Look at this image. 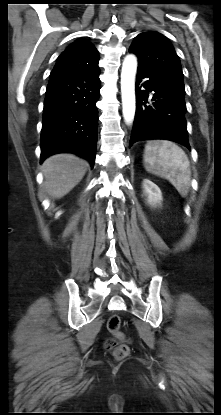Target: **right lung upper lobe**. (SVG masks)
<instances>
[{
	"label": "right lung upper lobe",
	"mask_w": 221,
	"mask_h": 415,
	"mask_svg": "<svg viewBox=\"0 0 221 415\" xmlns=\"http://www.w3.org/2000/svg\"><path fill=\"white\" fill-rule=\"evenodd\" d=\"M98 63L97 49L87 40L78 39L60 54L50 78L95 71L99 69Z\"/></svg>",
	"instance_id": "right-lung-upper-lobe-1"
}]
</instances>
